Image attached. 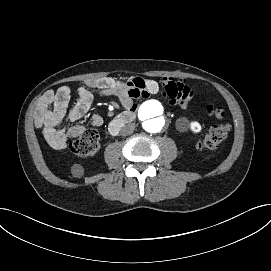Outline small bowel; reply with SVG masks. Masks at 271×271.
<instances>
[{
	"mask_svg": "<svg viewBox=\"0 0 271 271\" xmlns=\"http://www.w3.org/2000/svg\"><path fill=\"white\" fill-rule=\"evenodd\" d=\"M92 90H97L102 95L117 96L128 109L134 108L135 101L148 99L159 92L166 102L180 108H186L194 96L193 89L183 80L140 77L117 79L107 76L85 80L84 85L77 90V102L69 108L71 90L68 86L49 90L36 105L35 123L51 147L65 149L69 139L79 137L90 127H99L103 123L99 114H93L88 126H68L87 114L94 98Z\"/></svg>",
	"mask_w": 271,
	"mask_h": 271,
	"instance_id": "c3829d8e",
	"label": "small bowel"
}]
</instances>
